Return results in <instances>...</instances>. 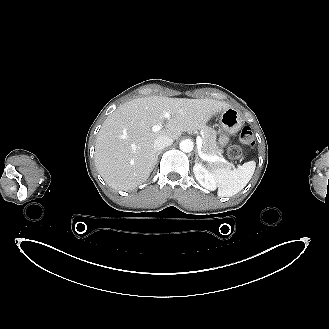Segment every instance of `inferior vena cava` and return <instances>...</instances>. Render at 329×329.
Here are the masks:
<instances>
[{
	"label": "inferior vena cava",
	"instance_id": "obj_1",
	"mask_svg": "<svg viewBox=\"0 0 329 329\" xmlns=\"http://www.w3.org/2000/svg\"><path fill=\"white\" fill-rule=\"evenodd\" d=\"M172 144H173V139L171 137L162 135V136H159L157 139H155L154 149H155V151H160Z\"/></svg>",
	"mask_w": 329,
	"mask_h": 329
}]
</instances>
